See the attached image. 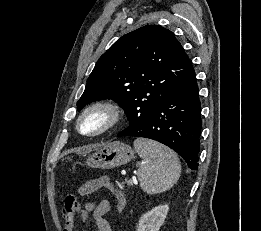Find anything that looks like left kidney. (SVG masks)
Here are the masks:
<instances>
[{"label": "left kidney", "mask_w": 261, "mask_h": 231, "mask_svg": "<svg viewBox=\"0 0 261 231\" xmlns=\"http://www.w3.org/2000/svg\"><path fill=\"white\" fill-rule=\"evenodd\" d=\"M169 207L167 204L153 208L143 214L139 219L137 231H159L167 216Z\"/></svg>", "instance_id": "left-kidney-1"}]
</instances>
